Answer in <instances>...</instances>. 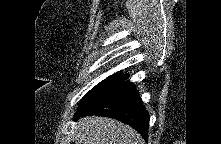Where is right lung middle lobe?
Instances as JSON below:
<instances>
[{
    "mask_svg": "<svg viewBox=\"0 0 221 144\" xmlns=\"http://www.w3.org/2000/svg\"><path fill=\"white\" fill-rule=\"evenodd\" d=\"M125 76L112 75L99 84H97L92 90H90L85 97L82 99L78 111H82L92 104H94L99 98L104 96L108 91L117 87L121 82L125 80Z\"/></svg>",
    "mask_w": 221,
    "mask_h": 144,
    "instance_id": "dd1d6c3e",
    "label": "right lung middle lobe"
}]
</instances>
